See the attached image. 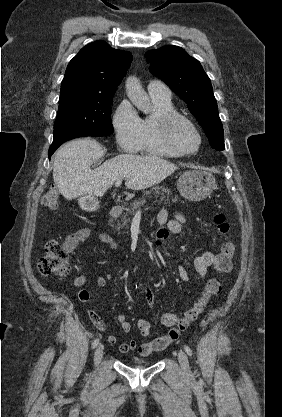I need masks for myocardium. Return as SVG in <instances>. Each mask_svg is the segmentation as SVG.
<instances>
[{"label":"myocardium","mask_w":282,"mask_h":417,"mask_svg":"<svg viewBox=\"0 0 282 417\" xmlns=\"http://www.w3.org/2000/svg\"><path fill=\"white\" fill-rule=\"evenodd\" d=\"M156 125L162 129V139L164 144L174 153L179 155H189V151L180 146L173 137V129L177 125H182L190 130L198 139V145L201 143V135L197 128L183 115L177 112H161L156 116Z\"/></svg>","instance_id":"obj_1"}]
</instances>
